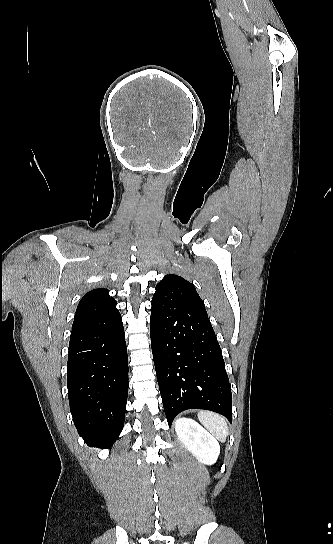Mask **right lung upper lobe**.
Masks as SVG:
<instances>
[{"label":"right lung upper lobe","instance_id":"cb5924a9","mask_svg":"<svg viewBox=\"0 0 333 544\" xmlns=\"http://www.w3.org/2000/svg\"><path fill=\"white\" fill-rule=\"evenodd\" d=\"M116 305L108 289L98 288L86 293L77 307L72 329L118 313Z\"/></svg>","mask_w":333,"mask_h":544}]
</instances>
